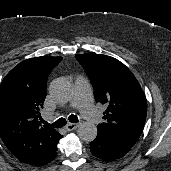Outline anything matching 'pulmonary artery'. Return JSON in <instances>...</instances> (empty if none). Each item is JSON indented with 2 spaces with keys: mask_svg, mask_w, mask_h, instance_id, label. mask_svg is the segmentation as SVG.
I'll list each match as a JSON object with an SVG mask.
<instances>
[{
  "mask_svg": "<svg viewBox=\"0 0 171 171\" xmlns=\"http://www.w3.org/2000/svg\"><path fill=\"white\" fill-rule=\"evenodd\" d=\"M71 106L79 109L82 115L91 124H98L101 121V117L98 115L97 110L93 105L90 84L83 77L75 78L74 96Z\"/></svg>",
  "mask_w": 171,
  "mask_h": 171,
  "instance_id": "e3ab8cb5",
  "label": "pulmonary artery"
}]
</instances>
